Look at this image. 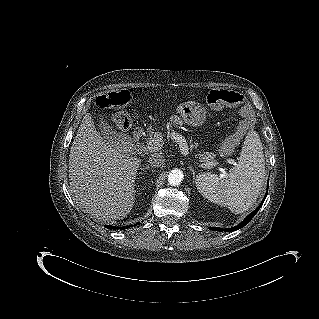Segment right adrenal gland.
Wrapping results in <instances>:
<instances>
[{
	"mask_svg": "<svg viewBox=\"0 0 319 319\" xmlns=\"http://www.w3.org/2000/svg\"><path fill=\"white\" fill-rule=\"evenodd\" d=\"M149 169H151V167L148 165L146 167H143L141 170H149Z\"/></svg>",
	"mask_w": 319,
	"mask_h": 319,
	"instance_id": "right-adrenal-gland-1",
	"label": "right adrenal gland"
}]
</instances>
